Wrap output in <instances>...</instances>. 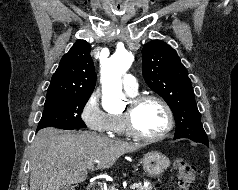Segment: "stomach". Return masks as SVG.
<instances>
[{
  "mask_svg": "<svg viewBox=\"0 0 238 190\" xmlns=\"http://www.w3.org/2000/svg\"><path fill=\"white\" fill-rule=\"evenodd\" d=\"M142 163L150 177H158L169 167L170 160L164 154L152 151L143 156Z\"/></svg>",
  "mask_w": 238,
  "mask_h": 190,
  "instance_id": "0dacf381",
  "label": "stomach"
}]
</instances>
